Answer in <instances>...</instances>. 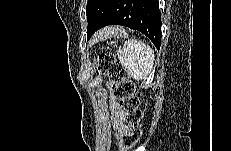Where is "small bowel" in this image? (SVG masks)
<instances>
[{
	"label": "small bowel",
	"instance_id": "obj_1",
	"mask_svg": "<svg viewBox=\"0 0 231 151\" xmlns=\"http://www.w3.org/2000/svg\"><path fill=\"white\" fill-rule=\"evenodd\" d=\"M113 113V126L116 131V137L120 138L127 130V127L123 124V113L120 106L116 103L112 105Z\"/></svg>",
	"mask_w": 231,
	"mask_h": 151
}]
</instances>
